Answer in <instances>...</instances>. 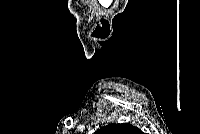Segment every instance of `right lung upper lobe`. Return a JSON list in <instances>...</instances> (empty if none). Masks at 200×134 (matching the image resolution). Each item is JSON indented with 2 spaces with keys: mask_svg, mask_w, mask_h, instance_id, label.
<instances>
[{
  "mask_svg": "<svg viewBox=\"0 0 200 134\" xmlns=\"http://www.w3.org/2000/svg\"><path fill=\"white\" fill-rule=\"evenodd\" d=\"M142 132L128 123L110 124L99 129L96 134H141Z\"/></svg>",
  "mask_w": 200,
  "mask_h": 134,
  "instance_id": "cb5924a9",
  "label": "right lung upper lobe"
}]
</instances>
